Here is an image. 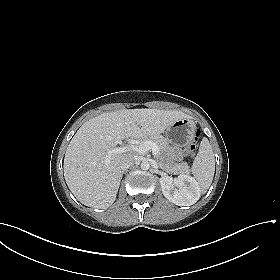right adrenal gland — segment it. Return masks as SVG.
Listing matches in <instances>:
<instances>
[{
  "label": "right adrenal gland",
  "instance_id": "2a0ac1e0",
  "mask_svg": "<svg viewBox=\"0 0 280 280\" xmlns=\"http://www.w3.org/2000/svg\"><path fill=\"white\" fill-rule=\"evenodd\" d=\"M125 174V171H122V175Z\"/></svg>",
  "mask_w": 280,
  "mask_h": 280
}]
</instances>
